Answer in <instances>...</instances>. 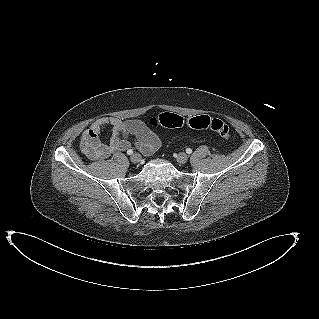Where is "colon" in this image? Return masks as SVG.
Instances as JSON below:
<instances>
[{"label":"colon","mask_w":319,"mask_h":319,"mask_svg":"<svg viewBox=\"0 0 319 319\" xmlns=\"http://www.w3.org/2000/svg\"><path fill=\"white\" fill-rule=\"evenodd\" d=\"M149 124L153 127L177 128L183 126L185 120L178 114L163 112L152 117ZM186 124L193 129H209L224 139H228L231 135L229 126L223 120L208 115L189 118Z\"/></svg>","instance_id":"colon-1"}]
</instances>
